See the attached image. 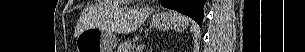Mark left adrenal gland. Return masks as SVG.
I'll return each mask as SVG.
<instances>
[{
  "mask_svg": "<svg viewBox=\"0 0 305 52\" xmlns=\"http://www.w3.org/2000/svg\"><path fill=\"white\" fill-rule=\"evenodd\" d=\"M150 52L152 51V48H150V50H149Z\"/></svg>",
  "mask_w": 305,
  "mask_h": 52,
  "instance_id": "a2214340",
  "label": "left adrenal gland"
}]
</instances>
